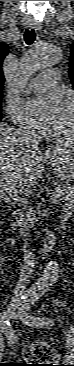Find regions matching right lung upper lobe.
Masks as SVG:
<instances>
[{
  "label": "right lung upper lobe",
  "mask_w": 74,
  "mask_h": 366,
  "mask_svg": "<svg viewBox=\"0 0 74 366\" xmlns=\"http://www.w3.org/2000/svg\"><path fill=\"white\" fill-rule=\"evenodd\" d=\"M8 45L5 43L0 42V92L2 90L3 84H4V75L2 72V62L6 55L8 54Z\"/></svg>",
  "instance_id": "1"
}]
</instances>
